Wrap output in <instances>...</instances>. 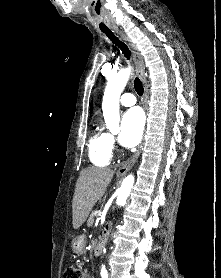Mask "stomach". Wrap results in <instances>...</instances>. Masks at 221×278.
I'll return each mask as SVG.
<instances>
[{"label":"stomach","mask_w":221,"mask_h":278,"mask_svg":"<svg viewBox=\"0 0 221 278\" xmlns=\"http://www.w3.org/2000/svg\"><path fill=\"white\" fill-rule=\"evenodd\" d=\"M86 246V236L80 235L73 239L71 243V250L74 254L80 255L84 252Z\"/></svg>","instance_id":"1"}]
</instances>
